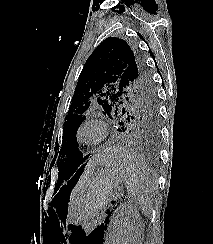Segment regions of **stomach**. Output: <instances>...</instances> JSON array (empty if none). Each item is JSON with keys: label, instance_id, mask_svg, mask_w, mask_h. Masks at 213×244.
<instances>
[{"label": "stomach", "instance_id": "stomach-1", "mask_svg": "<svg viewBox=\"0 0 213 244\" xmlns=\"http://www.w3.org/2000/svg\"><path fill=\"white\" fill-rule=\"evenodd\" d=\"M112 156L97 171H91L76 190L74 209L67 215L69 223H85L94 219L114 199L122 178L112 167Z\"/></svg>", "mask_w": 213, "mask_h": 244}]
</instances>
